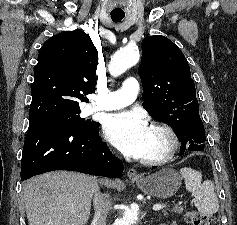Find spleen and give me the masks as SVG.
<instances>
[{"mask_svg": "<svg viewBox=\"0 0 237 225\" xmlns=\"http://www.w3.org/2000/svg\"><path fill=\"white\" fill-rule=\"evenodd\" d=\"M186 189L195 198V207L202 214L212 215L219 210L218 198L214 192V183L206 180L202 183V174L192 168H181Z\"/></svg>", "mask_w": 237, "mask_h": 225, "instance_id": "obj_1", "label": "spleen"}]
</instances>
